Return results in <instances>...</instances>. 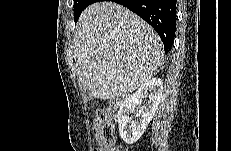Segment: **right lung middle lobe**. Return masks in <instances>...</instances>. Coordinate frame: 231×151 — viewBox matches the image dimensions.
<instances>
[{
	"label": "right lung middle lobe",
	"mask_w": 231,
	"mask_h": 151,
	"mask_svg": "<svg viewBox=\"0 0 231 151\" xmlns=\"http://www.w3.org/2000/svg\"><path fill=\"white\" fill-rule=\"evenodd\" d=\"M94 0H75L74 1V20L78 21L82 11L90 4H93Z\"/></svg>",
	"instance_id": "1"
}]
</instances>
